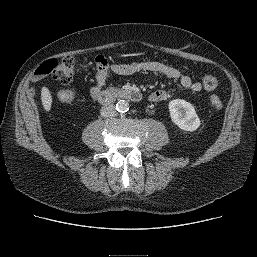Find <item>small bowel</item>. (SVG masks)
Segmentation results:
<instances>
[{
    "instance_id": "c3829d8e",
    "label": "small bowel",
    "mask_w": 257,
    "mask_h": 257,
    "mask_svg": "<svg viewBox=\"0 0 257 257\" xmlns=\"http://www.w3.org/2000/svg\"><path fill=\"white\" fill-rule=\"evenodd\" d=\"M96 65V85L92 89L93 96H97L101 88L105 85L108 79V69H111L114 73L119 75H132L140 71L161 74L170 79L178 80L180 85L185 89H190L195 92H199L202 89V84L200 82L193 81L189 76L182 75L178 69L157 61L109 64L104 57H97ZM168 97L169 94L167 91L156 90L151 93L149 99L152 102H161L166 100Z\"/></svg>"
}]
</instances>
